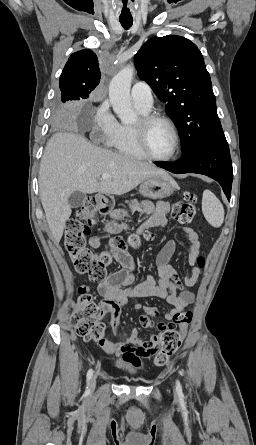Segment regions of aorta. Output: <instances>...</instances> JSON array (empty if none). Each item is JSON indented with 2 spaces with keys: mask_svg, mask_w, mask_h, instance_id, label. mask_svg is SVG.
I'll return each mask as SVG.
<instances>
[{
  "mask_svg": "<svg viewBox=\"0 0 256 445\" xmlns=\"http://www.w3.org/2000/svg\"><path fill=\"white\" fill-rule=\"evenodd\" d=\"M133 74L134 69L128 65L113 77L109 85L110 103L113 111L123 123H131L136 120L130 100Z\"/></svg>",
  "mask_w": 256,
  "mask_h": 445,
  "instance_id": "aorta-1",
  "label": "aorta"
}]
</instances>
